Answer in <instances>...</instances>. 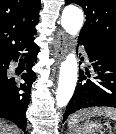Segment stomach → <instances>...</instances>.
<instances>
[{
    "label": "stomach",
    "mask_w": 116,
    "mask_h": 134,
    "mask_svg": "<svg viewBox=\"0 0 116 134\" xmlns=\"http://www.w3.org/2000/svg\"><path fill=\"white\" fill-rule=\"evenodd\" d=\"M99 128V124L94 122H86L82 126H75L74 134H92L95 130Z\"/></svg>",
    "instance_id": "obj_1"
}]
</instances>
